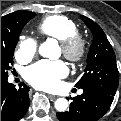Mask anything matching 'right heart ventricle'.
I'll return each instance as SVG.
<instances>
[{"instance_id":"right-heart-ventricle-1","label":"right heart ventricle","mask_w":121,"mask_h":121,"mask_svg":"<svg viewBox=\"0 0 121 121\" xmlns=\"http://www.w3.org/2000/svg\"><path fill=\"white\" fill-rule=\"evenodd\" d=\"M38 31L48 37L59 41L78 33L76 22L66 16H47L37 26Z\"/></svg>"}]
</instances>
